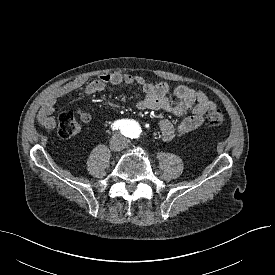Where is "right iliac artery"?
Instances as JSON below:
<instances>
[{
	"label": "right iliac artery",
	"mask_w": 275,
	"mask_h": 275,
	"mask_svg": "<svg viewBox=\"0 0 275 275\" xmlns=\"http://www.w3.org/2000/svg\"><path fill=\"white\" fill-rule=\"evenodd\" d=\"M124 127H125V122L123 120H117L112 125L113 130L124 129Z\"/></svg>",
	"instance_id": "1"
}]
</instances>
